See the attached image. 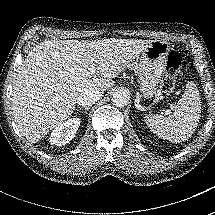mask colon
Here are the masks:
<instances>
[{"instance_id":"1","label":"colon","mask_w":215,"mask_h":215,"mask_svg":"<svg viewBox=\"0 0 215 215\" xmlns=\"http://www.w3.org/2000/svg\"><path fill=\"white\" fill-rule=\"evenodd\" d=\"M181 54L177 51H171L168 54L166 61V69L168 72L172 73L177 70L181 65ZM175 78L173 76H167L163 79L160 85V92L164 98H168L172 93L175 86Z\"/></svg>"}]
</instances>
